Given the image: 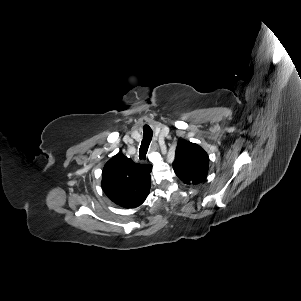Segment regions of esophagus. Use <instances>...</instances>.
I'll list each match as a JSON object with an SVG mask.
<instances>
[{
    "label": "esophagus",
    "instance_id": "esophagus-1",
    "mask_svg": "<svg viewBox=\"0 0 301 301\" xmlns=\"http://www.w3.org/2000/svg\"><path fill=\"white\" fill-rule=\"evenodd\" d=\"M150 150H151V151H157V150H158V145H157V143L152 142V143L150 144Z\"/></svg>",
    "mask_w": 301,
    "mask_h": 301
}]
</instances>
